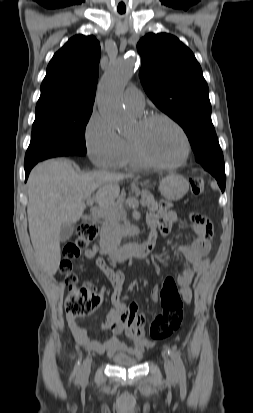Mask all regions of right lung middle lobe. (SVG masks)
Masks as SVG:
<instances>
[{
	"instance_id": "right-lung-middle-lobe-1",
	"label": "right lung middle lobe",
	"mask_w": 253,
	"mask_h": 413,
	"mask_svg": "<svg viewBox=\"0 0 253 413\" xmlns=\"http://www.w3.org/2000/svg\"><path fill=\"white\" fill-rule=\"evenodd\" d=\"M92 109L36 113L25 164L51 157L85 155V128Z\"/></svg>"
}]
</instances>
